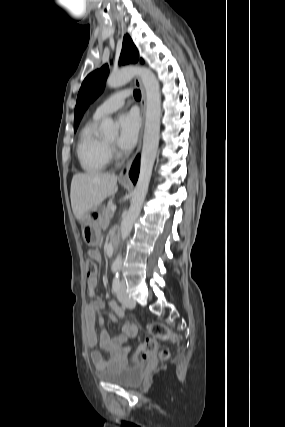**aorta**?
I'll return each mask as SVG.
<instances>
[{
  "instance_id": "1",
  "label": "aorta",
  "mask_w": 285,
  "mask_h": 427,
  "mask_svg": "<svg viewBox=\"0 0 285 427\" xmlns=\"http://www.w3.org/2000/svg\"><path fill=\"white\" fill-rule=\"evenodd\" d=\"M134 76L141 78L146 91V120L139 177L133 191L129 210L121 222V238L123 241L129 236L146 198L157 155L160 133V85L151 70L137 66L125 67L118 72L111 73L106 83L110 88H118L131 81ZM101 131L106 137L113 138L118 133V125L111 118H106L101 123ZM113 267L117 269L122 267L121 254L116 256Z\"/></svg>"
}]
</instances>
